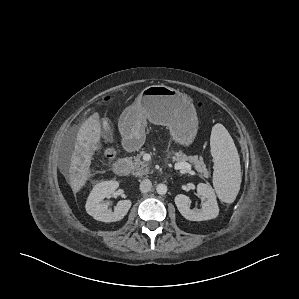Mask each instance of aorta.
Masks as SVG:
<instances>
[{
	"instance_id": "1",
	"label": "aorta",
	"mask_w": 299,
	"mask_h": 299,
	"mask_svg": "<svg viewBox=\"0 0 299 299\" xmlns=\"http://www.w3.org/2000/svg\"><path fill=\"white\" fill-rule=\"evenodd\" d=\"M156 191L160 195H164L167 192V186L165 184H158L156 186Z\"/></svg>"
}]
</instances>
